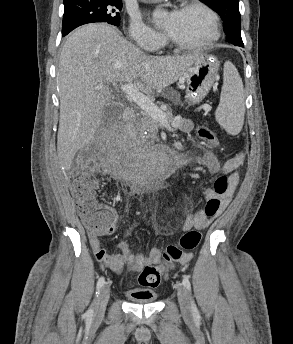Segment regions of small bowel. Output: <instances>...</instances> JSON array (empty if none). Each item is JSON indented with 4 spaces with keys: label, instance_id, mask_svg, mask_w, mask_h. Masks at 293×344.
Masks as SVG:
<instances>
[{
    "label": "small bowel",
    "instance_id": "small-bowel-1",
    "mask_svg": "<svg viewBox=\"0 0 293 344\" xmlns=\"http://www.w3.org/2000/svg\"><path fill=\"white\" fill-rule=\"evenodd\" d=\"M180 130L188 132L192 129V123L189 119L183 118L179 123ZM189 161L187 165H197L204 167L210 174L225 173L229 174L230 189L229 192L220 197L221 206L218 213L215 216H207L203 209H198L193 213L188 214L183 220L182 227L184 230H189L191 228L204 229L206 228L211 220L219 216L228 206L235 192L240 178L237 170L243 165L245 156L243 154L236 155L235 157L227 160L224 163H220L217 156L208 149L200 148L197 151L191 152L188 156ZM216 197L213 189H206L202 192V198L205 201ZM116 228V222L114 225V230ZM113 230V231H114ZM90 245L95 252L97 260L105 267L109 268L116 274H121L125 268L128 266L129 270L134 273H139L142 269L148 265L158 263L160 260V250L156 247H152L147 256L140 254H134L132 252L131 246L127 241H123L119 245V253L116 255L108 254L105 249L101 246L98 237L90 238ZM192 259V254L187 253L181 260L182 265L187 264ZM151 293L145 289H136L134 294H148Z\"/></svg>",
    "mask_w": 293,
    "mask_h": 344
}]
</instances>
